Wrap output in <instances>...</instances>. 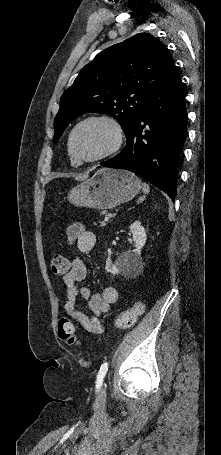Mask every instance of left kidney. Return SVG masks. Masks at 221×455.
Wrapping results in <instances>:
<instances>
[{
  "label": "left kidney",
  "instance_id": "1",
  "mask_svg": "<svg viewBox=\"0 0 221 455\" xmlns=\"http://www.w3.org/2000/svg\"><path fill=\"white\" fill-rule=\"evenodd\" d=\"M130 230L133 234V241L135 249L129 252L122 253L115 264L112 263L110 258L111 251L108 250V258L106 261L105 269L111 274H120L131 272L136 269L141 261V249L146 243L145 228L141 225L140 221H135L130 225Z\"/></svg>",
  "mask_w": 221,
  "mask_h": 455
}]
</instances>
